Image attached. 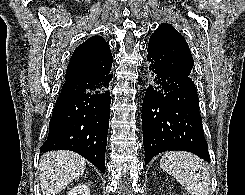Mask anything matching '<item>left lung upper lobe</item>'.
<instances>
[{"mask_svg": "<svg viewBox=\"0 0 245 195\" xmlns=\"http://www.w3.org/2000/svg\"><path fill=\"white\" fill-rule=\"evenodd\" d=\"M147 52V59L164 67L173 75L191 76L193 57L186 40L173 26L161 24L151 35Z\"/></svg>", "mask_w": 245, "mask_h": 195, "instance_id": "obj_1", "label": "left lung upper lobe"}]
</instances>
